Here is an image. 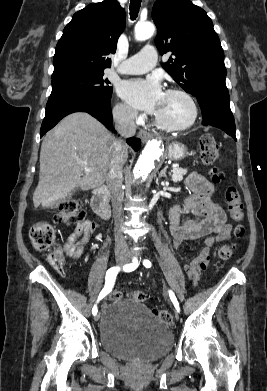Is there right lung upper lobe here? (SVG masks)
Instances as JSON below:
<instances>
[{"label":"right lung upper lobe","instance_id":"cb5924a9","mask_svg":"<svg viewBox=\"0 0 267 391\" xmlns=\"http://www.w3.org/2000/svg\"><path fill=\"white\" fill-rule=\"evenodd\" d=\"M125 23V12L116 0L93 3L75 13L57 43L52 76L109 68L107 55L115 53Z\"/></svg>","mask_w":267,"mask_h":391}]
</instances>
